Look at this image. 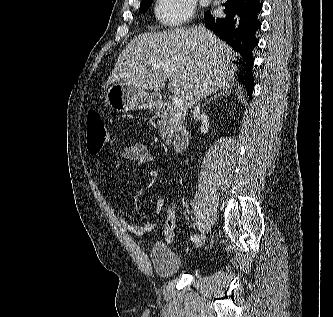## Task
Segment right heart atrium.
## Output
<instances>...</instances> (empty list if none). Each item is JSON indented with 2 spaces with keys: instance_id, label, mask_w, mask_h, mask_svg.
<instances>
[{
  "instance_id": "obj_1",
  "label": "right heart atrium",
  "mask_w": 333,
  "mask_h": 317,
  "mask_svg": "<svg viewBox=\"0 0 333 317\" xmlns=\"http://www.w3.org/2000/svg\"><path fill=\"white\" fill-rule=\"evenodd\" d=\"M154 14L164 28H178L189 23L195 15L194 0H155Z\"/></svg>"
}]
</instances>
